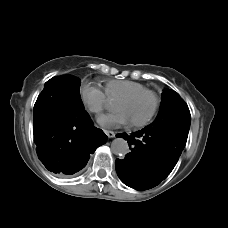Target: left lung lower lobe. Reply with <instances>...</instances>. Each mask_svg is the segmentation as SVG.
<instances>
[{
    "label": "left lung lower lobe",
    "mask_w": 228,
    "mask_h": 228,
    "mask_svg": "<svg viewBox=\"0 0 228 228\" xmlns=\"http://www.w3.org/2000/svg\"><path fill=\"white\" fill-rule=\"evenodd\" d=\"M117 137L128 141L131 152L115 167L121 181L136 190L158 185L173 170L186 144L188 134L146 126L142 130Z\"/></svg>",
    "instance_id": "left-lung-lower-lobe-1"
}]
</instances>
